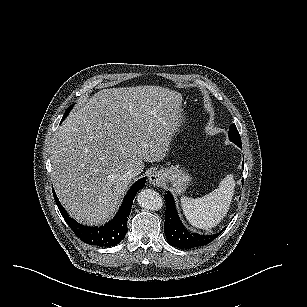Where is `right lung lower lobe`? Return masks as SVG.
Here are the masks:
<instances>
[{
  "label": "right lung lower lobe",
  "instance_id": "1",
  "mask_svg": "<svg viewBox=\"0 0 307 307\" xmlns=\"http://www.w3.org/2000/svg\"><path fill=\"white\" fill-rule=\"evenodd\" d=\"M145 182L146 178H142L132 185L115 217L109 223L101 227H87L77 223L69 217L66 210L62 207L54 190L53 193L60 213L73 232L83 242L90 245L112 247L124 239L127 231V218L131 212L133 199L138 190L145 185Z\"/></svg>",
  "mask_w": 307,
  "mask_h": 307
}]
</instances>
